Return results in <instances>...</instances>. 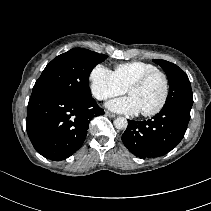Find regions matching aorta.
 <instances>
[{
  "instance_id": "aorta-1",
  "label": "aorta",
  "mask_w": 211,
  "mask_h": 211,
  "mask_svg": "<svg viewBox=\"0 0 211 211\" xmlns=\"http://www.w3.org/2000/svg\"><path fill=\"white\" fill-rule=\"evenodd\" d=\"M128 125L127 119L124 117H118L114 120V126L117 129H125Z\"/></svg>"
}]
</instances>
